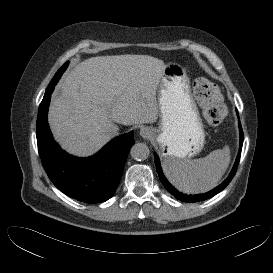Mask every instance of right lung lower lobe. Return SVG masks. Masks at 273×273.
Returning <instances> with one entry per match:
<instances>
[{
	"instance_id": "1",
	"label": "right lung lower lobe",
	"mask_w": 273,
	"mask_h": 273,
	"mask_svg": "<svg viewBox=\"0 0 273 273\" xmlns=\"http://www.w3.org/2000/svg\"><path fill=\"white\" fill-rule=\"evenodd\" d=\"M54 86L47 89L37 117V144L43 167L53 184L67 196L85 203L110 199L121 178L131 146L133 131L110 141L89 158L67 154L54 141L47 114Z\"/></svg>"
}]
</instances>
